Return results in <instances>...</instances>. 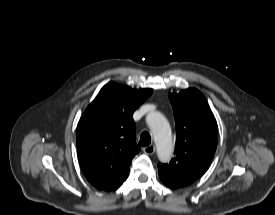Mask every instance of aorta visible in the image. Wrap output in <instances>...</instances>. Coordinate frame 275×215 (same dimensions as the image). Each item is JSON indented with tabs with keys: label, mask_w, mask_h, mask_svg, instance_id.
<instances>
[{
	"label": "aorta",
	"mask_w": 275,
	"mask_h": 215,
	"mask_svg": "<svg viewBox=\"0 0 275 215\" xmlns=\"http://www.w3.org/2000/svg\"><path fill=\"white\" fill-rule=\"evenodd\" d=\"M147 123L153 134L159 160L163 163L169 162L174 147L167 119L159 112H151L147 116Z\"/></svg>",
	"instance_id": "1"
}]
</instances>
